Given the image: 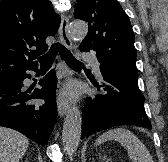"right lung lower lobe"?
Returning a JSON list of instances; mask_svg holds the SVG:
<instances>
[{
	"label": "right lung lower lobe",
	"instance_id": "right-lung-lower-lobe-1",
	"mask_svg": "<svg viewBox=\"0 0 168 162\" xmlns=\"http://www.w3.org/2000/svg\"><path fill=\"white\" fill-rule=\"evenodd\" d=\"M27 68L0 80V126L15 129L31 140L46 145L56 121L55 75L50 72L40 80L41 89L23 90V80L30 78ZM32 99H44L45 104H32Z\"/></svg>",
	"mask_w": 168,
	"mask_h": 162
}]
</instances>
